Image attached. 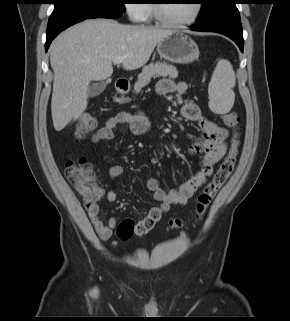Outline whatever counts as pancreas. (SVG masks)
<instances>
[{
    "label": "pancreas",
    "instance_id": "cf45deb5",
    "mask_svg": "<svg viewBox=\"0 0 290 321\" xmlns=\"http://www.w3.org/2000/svg\"><path fill=\"white\" fill-rule=\"evenodd\" d=\"M156 77H169L175 79L178 77V71L173 65H169L165 62L151 63L144 67L142 73L138 75V80L134 85V91L136 93L147 86L151 81V78Z\"/></svg>",
    "mask_w": 290,
    "mask_h": 321
}]
</instances>
